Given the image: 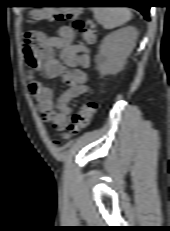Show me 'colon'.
<instances>
[{"label": "colon", "mask_w": 170, "mask_h": 231, "mask_svg": "<svg viewBox=\"0 0 170 231\" xmlns=\"http://www.w3.org/2000/svg\"><path fill=\"white\" fill-rule=\"evenodd\" d=\"M81 10L76 7L65 9H35L31 12V17L38 21H71L80 37L87 44H93L98 35V29L94 24H86L79 19ZM97 109L94 100H87L79 110L73 115L72 122L68 126V133L63 135L62 140H67L70 136L79 133L87 127ZM58 143L57 141H55Z\"/></svg>", "instance_id": "obj_1"}]
</instances>
